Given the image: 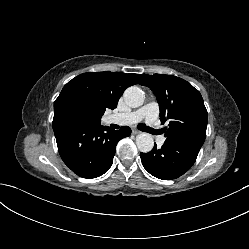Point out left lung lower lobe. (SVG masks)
Wrapping results in <instances>:
<instances>
[{
  "mask_svg": "<svg viewBox=\"0 0 249 249\" xmlns=\"http://www.w3.org/2000/svg\"><path fill=\"white\" fill-rule=\"evenodd\" d=\"M201 147L186 142H165L158 149L156 144L148 153H140L144 168L153 176L172 180L187 172Z\"/></svg>",
  "mask_w": 249,
  "mask_h": 249,
  "instance_id": "left-lung-lower-lobe-1",
  "label": "left lung lower lobe"
}]
</instances>
